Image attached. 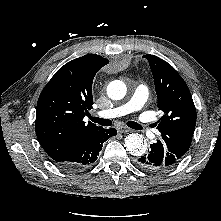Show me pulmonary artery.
<instances>
[{"label":"pulmonary artery","mask_w":221,"mask_h":221,"mask_svg":"<svg viewBox=\"0 0 221 221\" xmlns=\"http://www.w3.org/2000/svg\"><path fill=\"white\" fill-rule=\"evenodd\" d=\"M148 95V88L145 85H139L126 103L109 110L101 111L99 115L103 118H114L139 111L145 105ZM141 125L144 130L148 129L146 124Z\"/></svg>","instance_id":"pulmonary-artery-1"}]
</instances>
